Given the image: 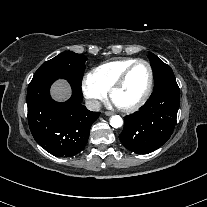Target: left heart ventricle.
Wrapping results in <instances>:
<instances>
[{
	"instance_id": "obj_1",
	"label": "left heart ventricle",
	"mask_w": 207,
	"mask_h": 207,
	"mask_svg": "<svg viewBox=\"0 0 207 207\" xmlns=\"http://www.w3.org/2000/svg\"><path fill=\"white\" fill-rule=\"evenodd\" d=\"M148 69L144 64L136 65L125 80L123 86L116 91L113 102L118 106H129L137 102L148 84Z\"/></svg>"
}]
</instances>
